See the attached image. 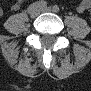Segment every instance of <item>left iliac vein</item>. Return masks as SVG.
Listing matches in <instances>:
<instances>
[{"label":"left iliac vein","instance_id":"obj_1","mask_svg":"<svg viewBox=\"0 0 91 91\" xmlns=\"http://www.w3.org/2000/svg\"><path fill=\"white\" fill-rule=\"evenodd\" d=\"M51 11H52V8L51 7L41 8V12H51Z\"/></svg>","mask_w":91,"mask_h":91}]
</instances>
